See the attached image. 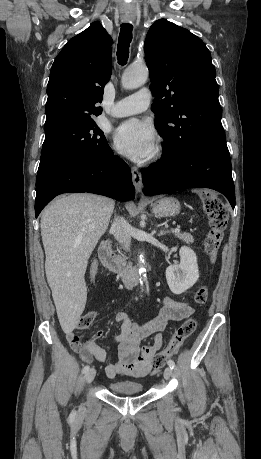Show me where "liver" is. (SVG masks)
I'll return each mask as SVG.
<instances>
[{"instance_id": "6515ba94", "label": "liver", "mask_w": 261, "mask_h": 459, "mask_svg": "<svg viewBox=\"0 0 261 459\" xmlns=\"http://www.w3.org/2000/svg\"><path fill=\"white\" fill-rule=\"evenodd\" d=\"M114 205L104 196L76 193L57 198L42 213L46 278L66 334L77 327L85 308L88 260L107 230Z\"/></svg>"}]
</instances>
